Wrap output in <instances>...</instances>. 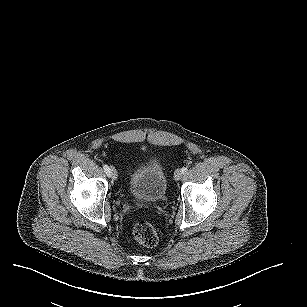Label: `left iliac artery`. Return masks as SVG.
Masks as SVG:
<instances>
[{
    "instance_id": "obj_1",
    "label": "left iliac artery",
    "mask_w": 307,
    "mask_h": 307,
    "mask_svg": "<svg viewBox=\"0 0 307 307\" xmlns=\"http://www.w3.org/2000/svg\"><path fill=\"white\" fill-rule=\"evenodd\" d=\"M181 170H182V173L184 174V173H186L188 171V168L187 167H183Z\"/></svg>"
}]
</instances>
